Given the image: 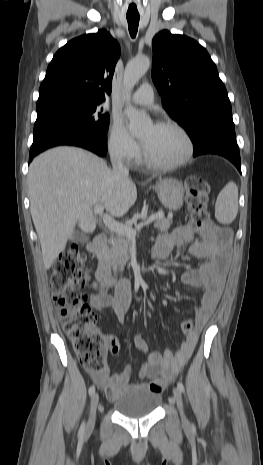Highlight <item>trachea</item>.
I'll return each instance as SVG.
<instances>
[{
    "instance_id": "3493384b",
    "label": "trachea",
    "mask_w": 263,
    "mask_h": 465,
    "mask_svg": "<svg viewBox=\"0 0 263 465\" xmlns=\"http://www.w3.org/2000/svg\"><path fill=\"white\" fill-rule=\"evenodd\" d=\"M128 28L132 38H135L139 25V16H127Z\"/></svg>"
}]
</instances>
